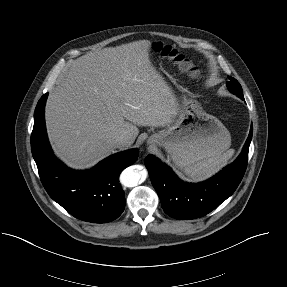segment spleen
<instances>
[{"label":"spleen","instance_id":"1","mask_svg":"<svg viewBox=\"0 0 287 287\" xmlns=\"http://www.w3.org/2000/svg\"><path fill=\"white\" fill-rule=\"evenodd\" d=\"M233 154L234 149H230L219 156L209 158L185 168V173L194 181H202L221 170L228 163Z\"/></svg>","mask_w":287,"mask_h":287}]
</instances>
